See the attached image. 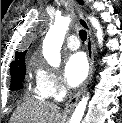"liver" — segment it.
Masks as SVG:
<instances>
[{"instance_id":"liver-1","label":"liver","mask_w":122,"mask_h":123,"mask_svg":"<svg viewBox=\"0 0 122 123\" xmlns=\"http://www.w3.org/2000/svg\"><path fill=\"white\" fill-rule=\"evenodd\" d=\"M65 119L56 104L30 99L16 109L10 123H64Z\"/></svg>"}]
</instances>
